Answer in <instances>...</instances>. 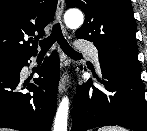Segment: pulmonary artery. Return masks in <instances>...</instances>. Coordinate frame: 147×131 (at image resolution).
<instances>
[{"label":"pulmonary artery","mask_w":147,"mask_h":131,"mask_svg":"<svg viewBox=\"0 0 147 131\" xmlns=\"http://www.w3.org/2000/svg\"><path fill=\"white\" fill-rule=\"evenodd\" d=\"M77 48L81 51L87 52L92 57L97 67L100 68L99 53H98V50L95 48V46L86 42H78Z\"/></svg>","instance_id":"1"}]
</instances>
